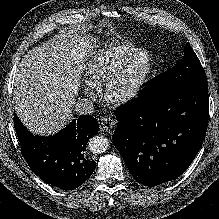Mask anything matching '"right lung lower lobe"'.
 <instances>
[{"label": "right lung lower lobe", "instance_id": "98d812e1", "mask_svg": "<svg viewBox=\"0 0 219 219\" xmlns=\"http://www.w3.org/2000/svg\"><path fill=\"white\" fill-rule=\"evenodd\" d=\"M14 127L24 159L45 182L73 190L93 173L96 162L84 155L88 140L99 130L98 121L93 116L81 115L50 137L31 134L15 113Z\"/></svg>", "mask_w": 219, "mask_h": 219}]
</instances>
